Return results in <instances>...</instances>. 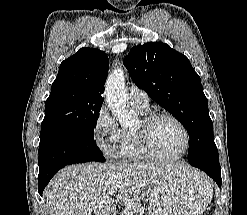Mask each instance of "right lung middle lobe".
Returning a JSON list of instances; mask_svg holds the SVG:
<instances>
[{
    "label": "right lung middle lobe",
    "instance_id": "dd1d6c3e",
    "mask_svg": "<svg viewBox=\"0 0 247 215\" xmlns=\"http://www.w3.org/2000/svg\"><path fill=\"white\" fill-rule=\"evenodd\" d=\"M102 103L76 96L68 89L51 92L45 104L41 139L53 133L66 132L94 141V127Z\"/></svg>",
    "mask_w": 247,
    "mask_h": 215
}]
</instances>
